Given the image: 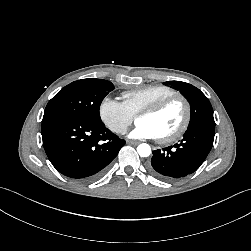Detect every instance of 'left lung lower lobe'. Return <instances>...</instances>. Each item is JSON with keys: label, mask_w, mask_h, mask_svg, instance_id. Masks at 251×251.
I'll list each match as a JSON object with an SVG mask.
<instances>
[{"label": "left lung lower lobe", "mask_w": 251, "mask_h": 251, "mask_svg": "<svg viewBox=\"0 0 251 251\" xmlns=\"http://www.w3.org/2000/svg\"><path fill=\"white\" fill-rule=\"evenodd\" d=\"M214 127L210 123L188 127L179 143L153 151L149 171L166 181L179 179L196 171L213 146Z\"/></svg>", "instance_id": "obj_1"}]
</instances>
